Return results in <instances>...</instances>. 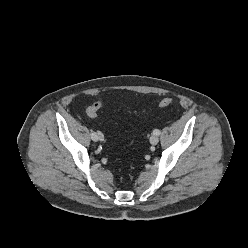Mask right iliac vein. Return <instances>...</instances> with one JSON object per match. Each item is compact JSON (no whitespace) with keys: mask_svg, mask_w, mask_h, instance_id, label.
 Masks as SVG:
<instances>
[{"mask_svg":"<svg viewBox=\"0 0 248 248\" xmlns=\"http://www.w3.org/2000/svg\"><path fill=\"white\" fill-rule=\"evenodd\" d=\"M97 140L103 141V140H104L103 134L98 133V135H97Z\"/></svg>","mask_w":248,"mask_h":248,"instance_id":"right-iliac-vein-1","label":"right iliac vein"}]
</instances>
